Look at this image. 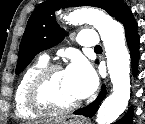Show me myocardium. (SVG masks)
<instances>
[{
	"mask_svg": "<svg viewBox=\"0 0 145 124\" xmlns=\"http://www.w3.org/2000/svg\"><path fill=\"white\" fill-rule=\"evenodd\" d=\"M64 71L59 64H48L43 67L32 79L27 90V104L34 112L41 114H66L80 105V101L61 106L56 104L47 91L48 83L56 72Z\"/></svg>",
	"mask_w": 145,
	"mask_h": 124,
	"instance_id": "1",
	"label": "myocardium"
}]
</instances>
